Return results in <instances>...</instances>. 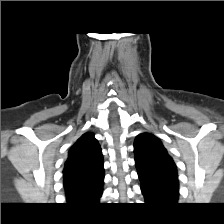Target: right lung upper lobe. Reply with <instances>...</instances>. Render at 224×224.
I'll use <instances>...</instances> for the list:
<instances>
[{"instance_id": "obj_1", "label": "right lung upper lobe", "mask_w": 224, "mask_h": 224, "mask_svg": "<svg viewBox=\"0 0 224 224\" xmlns=\"http://www.w3.org/2000/svg\"><path fill=\"white\" fill-rule=\"evenodd\" d=\"M101 147L94 134L87 132L71 147L63 170L66 199L93 202L102 190L104 168Z\"/></svg>"}]
</instances>
